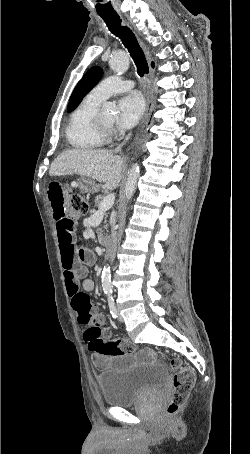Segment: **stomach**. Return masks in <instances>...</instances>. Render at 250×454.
Wrapping results in <instances>:
<instances>
[{
	"mask_svg": "<svg viewBox=\"0 0 250 454\" xmlns=\"http://www.w3.org/2000/svg\"><path fill=\"white\" fill-rule=\"evenodd\" d=\"M49 184H50V182H49ZM81 189L86 191V192L93 193V192H96L98 190V187L93 182H91L89 180H84L83 184L81 185Z\"/></svg>",
	"mask_w": 250,
	"mask_h": 454,
	"instance_id": "1",
	"label": "stomach"
}]
</instances>
